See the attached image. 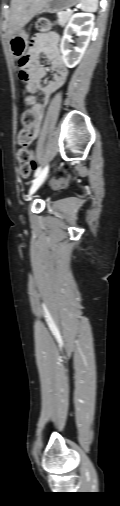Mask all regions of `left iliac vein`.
I'll list each match as a JSON object with an SVG mask.
<instances>
[{
    "label": "left iliac vein",
    "mask_w": 120,
    "mask_h": 506,
    "mask_svg": "<svg viewBox=\"0 0 120 506\" xmlns=\"http://www.w3.org/2000/svg\"><path fill=\"white\" fill-rule=\"evenodd\" d=\"M48 171H49V166H46L42 172L35 178V180L33 181L32 183V186L30 188V191H29V198L31 197V195L33 193L36 192V190L41 186V184L44 182V180L46 179L47 177V174H48Z\"/></svg>",
    "instance_id": "4c4485c4"
}]
</instances>
